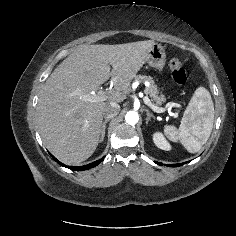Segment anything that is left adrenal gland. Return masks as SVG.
<instances>
[{
	"label": "left adrenal gland",
	"mask_w": 236,
	"mask_h": 236,
	"mask_svg": "<svg viewBox=\"0 0 236 236\" xmlns=\"http://www.w3.org/2000/svg\"><path fill=\"white\" fill-rule=\"evenodd\" d=\"M145 112H146V114H147V117H146V125H148L150 119H151V118L155 119V116H154L152 113H150L148 109H145Z\"/></svg>",
	"instance_id": "left-adrenal-gland-1"
}]
</instances>
